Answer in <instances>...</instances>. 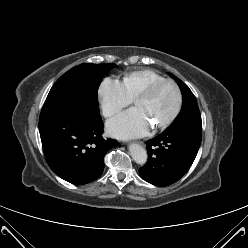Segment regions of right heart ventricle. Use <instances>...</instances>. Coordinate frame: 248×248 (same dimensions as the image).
I'll use <instances>...</instances> for the list:
<instances>
[{
	"mask_svg": "<svg viewBox=\"0 0 248 248\" xmlns=\"http://www.w3.org/2000/svg\"><path fill=\"white\" fill-rule=\"evenodd\" d=\"M163 76L151 69H142L124 75L122 84L133 99L152 82L162 79Z\"/></svg>",
	"mask_w": 248,
	"mask_h": 248,
	"instance_id": "right-heart-ventricle-1",
	"label": "right heart ventricle"
}]
</instances>
